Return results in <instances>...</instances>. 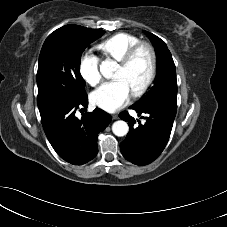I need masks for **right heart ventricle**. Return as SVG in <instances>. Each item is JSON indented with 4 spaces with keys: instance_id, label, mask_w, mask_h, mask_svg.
I'll use <instances>...</instances> for the list:
<instances>
[{
    "instance_id": "e07e8e85",
    "label": "right heart ventricle",
    "mask_w": 227,
    "mask_h": 227,
    "mask_svg": "<svg viewBox=\"0 0 227 227\" xmlns=\"http://www.w3.org/2000/svg\"><path fill=\"white\" fill-rule=\"evenodd\" d=\"M139 41L134 34L119 32L99 43L97 49L105 58L120 61L126 52Z\"/></svg>"
}]
</instances>
